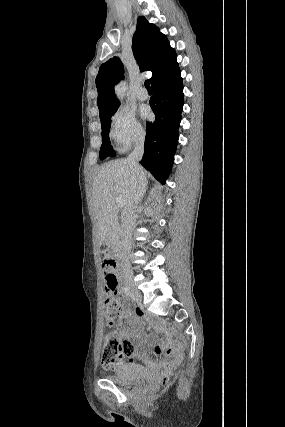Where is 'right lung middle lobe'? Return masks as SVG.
Instances as JSON below:
<instances>
[{"label": "right lung middle lobe", "mask_w": 285, "mask_h": 427, "mask_svg": "<svg viewBox=\"0 0 285 427\" xmlns=\"http://www.w3.org/2000/svg\"><path fill=\"white\" fill-rule=\"evenodd\" d=\"M111 116L101 121V128L103 129V131H102V145L100 149V158L102 160L110 155L114 156V153L112 151V146L109 141V129H110V123H111L110 122Z\"/></svg>", "instance_id": "1"}]
</instances>
